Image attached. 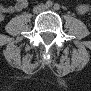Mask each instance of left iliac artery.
Masks as SVG:
<instances>
[{
    "mask_svg": "<svg viewBox=\"0 0 91 91\" xmlns=\"http://www.w3.org/2000/svg\"><path fill=\"white\" fill-rule=\"evenodd\" d=\"M59 8H60V6H59L58 4H55V5H54V9H55V10H58Z\"/></svg>",
    "mask_w": 91,
    "mask_h": 91,
    "instance_id": "obj_1",
    "label": "left iliac artery"
}]
</instances>
